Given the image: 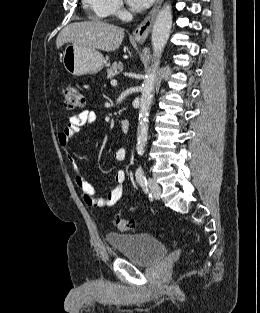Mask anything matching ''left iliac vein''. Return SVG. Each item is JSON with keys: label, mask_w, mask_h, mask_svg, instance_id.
Returning a JSON list of instances; mask_svg holds the SVG:
<instances>
[{"label": "left iliac vein", "mask_w": 260, "mask_h": 313, "mask_svg": "<svg viewBox=\"0 0 260 313\" xmlns=\"http://www.w3.org/2000/svg\"><path fill=\"white\" fill-rule=\"evenodd\" d=\"M148 182H149V188H150V192H151L152 196L155 199H159L160 194H161L160 186L153 179H149Z\"/></svg>", "instance_id": "left-iliac-vein-1"}]
</instances>
